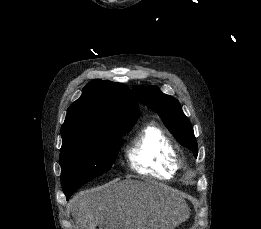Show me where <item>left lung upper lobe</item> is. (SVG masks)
<instances>
[{
  "label": "left lung upper lobe",
  "instance_id": "left-lung-upper-lobe-1",
  "mask_svg": "<svg viewBox=\"0 0 261 229\" xmlns=\"http://www.w3.org/2000/svg\"><path fill=\"white\" fill-rule=\"evenodd\" d=\"M136 99L156 112L168 130L183 146L198 154L197 141L189 119L184 115L181 105L173 96L162 93L156 86H134Z\"/></svg>",
  "mask_w": 261,
  "mask_h": 229
}]
</instances>
